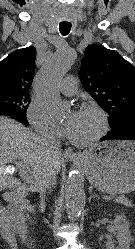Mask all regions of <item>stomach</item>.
<instances>
[{"mask_svg": "<svg viewBox=\"0 0 135 249\" xmlns=\"http://www.w3.org/2000/svg\"><path fill=\"white\" fill-rule=\"evenodd\" d=\"M81 163L96 188L110 194L135 190V142H104L84 152Z\"/></svg>", "mask_w": 135, "mask_h": 249, "instance_id": "obj_1", "label": "stomach"}]
</instances>
